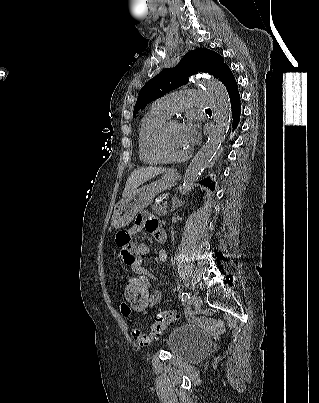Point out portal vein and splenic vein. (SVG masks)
<instances>
[{"instance_id": "obj_1", "label": "portal vein and splenic vein", "mask_w": 319, "mask_h": 403, "mask_svg": "<svg viewBox=\"0 0 319 403\" xmlns=\"http://www.w3.org/2000/svg\"><path fill=\"white\" fill-rule=\"evenodd\" d=\"M163 205H164V206H167V205H168V202H167V201L163 202Z\"/></svg>"}]
</instances>
